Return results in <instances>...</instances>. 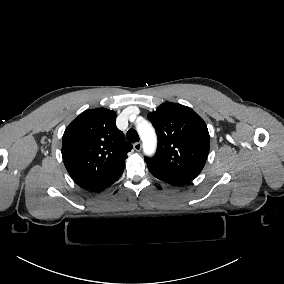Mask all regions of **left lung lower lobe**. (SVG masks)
<instances>
[{
	"label": "left lung lower lobe",
	"instance_id": "left-lung-lower-lobe-1",
	"mask_svg": "<svg viewBox=\"0 0 284 284\" xmlns=\"http://www.w3.org/2000/svg\"><path fill=\"white\" fill-rule=\"evenodd\" d=\"M149 171L153 176L156 178L169 183L171 185H185L188 184L191 180L185 177L174 176L166 173H162L153 169L149 168Z\"/></svg>",
	"mask_w": 284,
	"mask_h": 284
}]
</instances>
